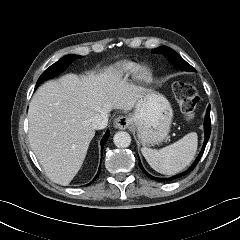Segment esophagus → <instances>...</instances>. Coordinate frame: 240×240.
<instances>
[{"label":"esophagus","mask_w":240,"mask_h":240,"mask_svg":"<svg viewBox=\"0 0 240 240\" xmlns=\"http://www.w3.org/2000/svg\"><path fill=\"white\" fill-rule=\"evenodd\" d=\"M132 124V119L127 115L119 116L114 121V127L120 130L127 129Z\"/></svg>","instance_id":"34e87169"}]
</instances>
